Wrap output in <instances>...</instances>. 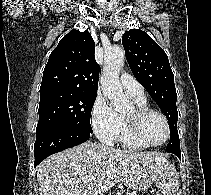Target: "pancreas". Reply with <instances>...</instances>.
Returning a JSON list of instances; mask_svg holds the SVG:
<instances>
[{
    "label": "pancreas",
    "mask_w": 211,
    "mask_h": 195,
    "mask_svg": "<svg viewBox=\"0 0 211 195\" xmlns=\"http://www.w3.org/2000/svg\"><path fill=\"white\" fill-rule=\"evenodd\" d=\"M128 195H138V194L136 192H132V193H130Z\"/></svg>",
    "instance_id": "pancreas-1"
}]
</instances>
